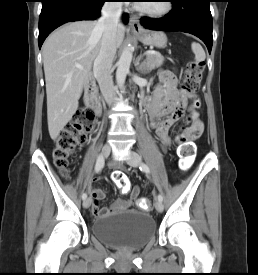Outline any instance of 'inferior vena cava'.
Listing matches in <instances>:
<instances>
[{"mask_svg": "<svg viewBox=\"0 0 258 275\" xmlns=\"http://www.w3.org/2000/svg\"><path fill=\"white\" fill-rule=\"evenodd\" d=\"M122 14L119 2H105L97 28L102 29L101 47L94 61L93 72L105 101L111 105L114 101V85L112 79V63L117 50L116 32Z\"/></svg>", "mask_w": 258, "mask_h": 275, "instance_id": "602c4592", "label": "inferior vena cava"}]
</instances>
